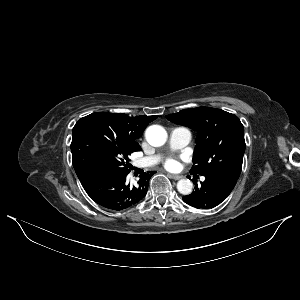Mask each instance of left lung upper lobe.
Wrapping results in <instances>:
<instances>
[{
    "label": "left lung upper lobe",
    "mask_w": 300,
    "mask_h": 300,
    "mask_svg": "<svg viewBox=\"0 0 300 300\" xmlns=\"http://www.w3.org/2000/svg\"><path fill=\"white\" fill-rule=\"evenodd\" d=\"M166 118L197 131L192 174H219L238 180L245 152L244 127L239 118L221 109H184Z\"/></svg>",
    "instance_id": "obj_1"
}]
</instances>
